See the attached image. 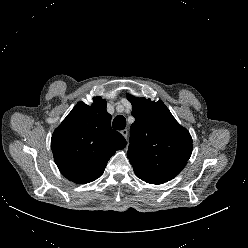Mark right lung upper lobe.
<instances>
[{
  "label": "right lung upper lobe",
  "mask_w": 248,
  "mask_h": 248,
  "mask_svg": "<svg viewBox=\"0 0 248 248\" xmlns=\"http://www.w3.org/2000/svg\"><path fill=\"white\" fill-rule=\"evenodd\" d=\"M125 146V138L111 129V115L100 96L94 97L91 106L79 102L54 131L51 140L60 172L78 184L97 179L108 160Z\"/></svg>",
  "instance_id": "1"
}]
</instances>
